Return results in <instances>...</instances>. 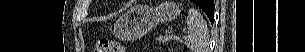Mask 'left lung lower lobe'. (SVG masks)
Masks as SVG:
<instances>
[{
  "mask_svg": "<svg viewBox=\"0 0 305 52\" xmlns=\"http://www.w3.org/2000/svg\"><path fill=\"white\" fill-rule=\"evenodd\" d=\"M192 2L194 1L192 0ZM214 8H215L214 0H206L204 7L201 8L207 14L211 23H213V18H214Z\"/></svg>",
  "mask_w": 305,
  "mask_h": 52,
  "instance_id": "obj_1",
  "label": "left lung lower lobe"
}]
</instances>
